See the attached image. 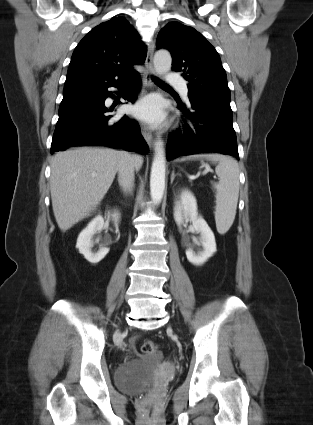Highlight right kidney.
<instances>
[{
    "label": "right kidney",
    "instance_id": "right-kidney-1",
    "mask_svg": "<svg viewBox=\"0 0 313 425\" xmlns=\"http://www.w3.org/2000/svg\"><path fill=\"white\" fill-rule=\"evenodd\" d=\"M112 219L117 222L120 214L116 211L111 214ZM104 226V219L101 215L96 216L87 227L82 230L77 239L76 248L83 254L85 259L92 264L100 262L109 252V248L104 245L101 246L98 252H92L91 248L93 245L92 238L94 234L100 232Z\"/></svg>",
    "mask_w": 313,
    "mask_h": 425
}]
</instances>
